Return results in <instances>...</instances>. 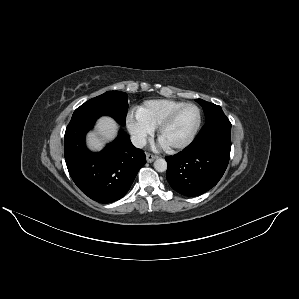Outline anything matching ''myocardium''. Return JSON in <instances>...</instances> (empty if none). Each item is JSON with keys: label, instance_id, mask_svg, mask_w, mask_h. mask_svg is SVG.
Here are the masks:
<instances>
[{"label": "myocardium", "instance_id": "1", "mask_svg": "<svg viewBox=\"0 0 299 299\" xmlns=\"http://www.w3.org/2000/svg\"><path fill=\"white\" fill-rule=\"evenodd\" d=\"M186 107H195L197 109L198 112V120L196 123L195 128L193 129L192 133L189 135V137L187 139H185L184 141L177 143V144H173V145H166L162 142L161 137H162V133L163 131L173 122V120L175 119V117L177 116V114L184 108ZM202 123V112L201 109L199 108V106H197L196 104L193 103H184L181 106L175 108L174 110H172L162 121L161 123L158 125L157 127V134H158V138L159 140L165 145V147L169 150H179V149H183L185 147H187L188 145H190L192 143V141L194 140V138L196 137L200 126Z\"/></svg>", "mask_w": 299, "mask_h": 299}]
</instances>
